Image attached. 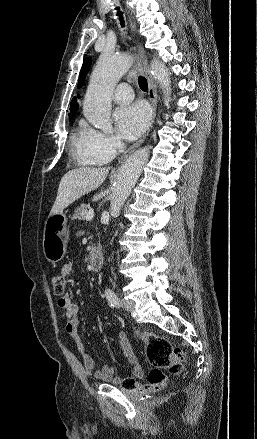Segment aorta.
<instances>
[{"label":"aorta","mask_w":257,"mask_h":439,"mask_svg":"<svg viewBox=\"0 0 257 439\" xmlns=\"http://www.w3.org/2000/svg\"><path fill=\"white\" fill-rule=\"evenodd\" d=\"M131 64L132 58L127 54L103 53L91 76L83 112L92 125L105 133H111L113 130L110 116L111 97L114 88ZM150 69L152 76L164 92L165 101L168 102L171 94V80L164 63L153 60ZM149 154V147L141 148L130 155L121 166L110 197V212L112 215L120 213L149 158Z\"/></svg>","instance_id":"762f6f07"}]
</instances>
